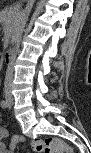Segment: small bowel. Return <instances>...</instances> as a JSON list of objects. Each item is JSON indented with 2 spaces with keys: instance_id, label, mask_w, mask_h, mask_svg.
I'll use <instances>...</instances> for the list:
<instances>
[{
  "instance_id": "small-bowel-1",
  "label": "small bowel",
  "mask_w": 91,
  "mask_h": 153,
  "mask_svg": "<svg viewBox=\"0 0 91 153\" xmlns=\"http://www.w3.org/2000/svg\"><path fill=\"white\" fill-rule=\"evenodd\" d=\"M8 136V133L5 129H0V151L3 153H10L13 152L15 149V143L18 139H22L21 137L15 136L12 139L11 145H7L3 142L4 139H6Z\"/></svg>"
}]
</instances>
